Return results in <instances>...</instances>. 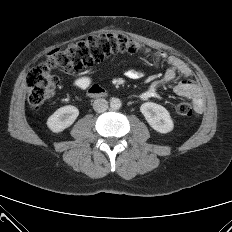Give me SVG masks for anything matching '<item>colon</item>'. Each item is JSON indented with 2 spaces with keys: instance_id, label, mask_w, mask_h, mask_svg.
Instances as JSON below:
<instances>
[{
  "instance_id": "colon-1",
  "label": "colon",
  "mask_w": 232,
  "mask_h": 232,
  "mask_svg": "<svg viewBox=\"0 0 232 232\" xmlns=\"http://www.w3.org/2000/svg\"><path fill=\"white\" fill-rule=\"evenodd\" d=\"M140 50L142 46L138 42L118 32L71 42L51 52L43 63L29 71L26 78L28 101L33 108H38L55 94L60 81L51 74L52 70L66 73L80 71L102 62L111 54L136 53ZM176 112L180 116H191L193 110L188 102H181Z\"/></svg>"
}]
</instances>
